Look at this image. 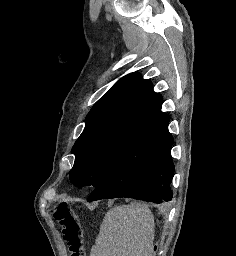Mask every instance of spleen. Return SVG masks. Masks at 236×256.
<instances>
[{"instance_id": "1", "label": "spleen", "mask_w": 236, "mask_h": 256, "mask_svg": "<svg viewBox=\"0 0 236 256\" xmlns=\"http://www.w3.org/2000/svg\"><path fill=\"white\" fill-rule=\"evenodd\" d=\"M153 242L151 210L131 202L108 210L90 256H152Z\"/></svg>"}]
</instances>
